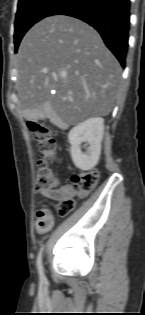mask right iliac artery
<instances>
[{
	"label": "right iliac artery",
	"instance_id": "right-iliac-artery-1",
	"mask_svg": "<svg viewBox=\"0 0 145 315\" xmlns=\"http://www.w3.org/2000/svg\"><path fill=\"white\" fill-rule=\"evenodd\" d=\"M42 251H43V247L41 248L37 257V267H38L40 279L43 281L45 279V276L43 273V266H42Z\"/></svg>",
	"mask_w": 145,
	"mask_h": 315
}]
</instances>
